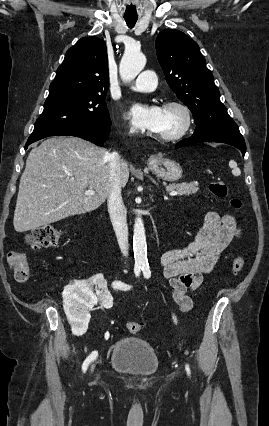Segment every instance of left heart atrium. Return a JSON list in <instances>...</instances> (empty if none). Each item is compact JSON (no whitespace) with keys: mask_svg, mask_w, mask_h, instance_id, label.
<instances>
[{"mask_svg":"<svg viewBox=\"0 0 269 426\" xmlns=\"http://www.w3.org/2000/svg\"><path fill=\"white\" fill-rule=\"evenodd\" d=\"M163 108L158 105L134 103L127 110L126 116L140 130L155 131L162 119Z\"/></svg>","mask_w":269,"mask_h":426,"instance_id":"obj_1","label":"left heart atrium"}]
</instances>
